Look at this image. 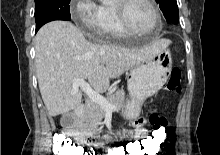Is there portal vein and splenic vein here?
I'll list each match as a JSON object with an SVG mask.
<instances>
[{
	"label": "portal vein and splenic vein",
	"mask_w": 220,
	"mask_h": 155,
	"mask_svg": "<svg viewBox=\"0 0 220 155\" xmlns=\"http://www.w3.org/2000/svg\"><path fill=\"white\" fill-rule=\"evenodd\" d=\"M73 83V91L72 93L76 92L79 88H81L86 95L92 100L93 102L99 104L103 109L106 111H114L116 110V106L111 105L106 98L100 95L98 92L92 89V87L85 81V79H74Z\"/></svg>",
	"instance_id": "obj_1"
}]
</instances>
